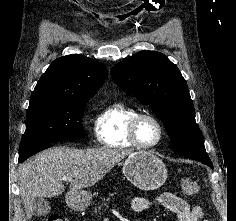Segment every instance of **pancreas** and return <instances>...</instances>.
Returning a JSON list of instances; mask_svg holds the SVG:
<instances>
[{"mask_svg":"<svg viewBox=\"0 0 236 221\" xmlns=\"http://www.w3.org/2000/svg\"><path fill=\"white\" fill-rule=\"evenodd\" d=\"M114 196L113 193L109 194V197L103 198L101 205H98L97 207L94 208V214H98L101 212L103 207H106L107 204L110 202L111 198Z\"/></svg>","mask_w":236,"mask_h":221,"instance_id":"cf45deb5","label":"pancreas"}]
</instances>
